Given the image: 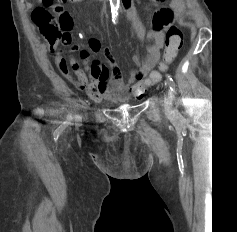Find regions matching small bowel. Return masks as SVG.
<instances>
[{
    "label": "small bowel",
    "instance_id": "c3829d8e",
    "mask_svg": "<svg viewBox=\"0 0 237 232\" xmlns=\"http://www.w3.org/2000/svg\"><path fill=\"white\" fill-rule=\"evenodd\" d=\"M83 0H67L71 3H79ZM163 2L165 0H153ZM184 9V0H170L168 7L159 8L152 19V29L146 31L134 8L128 10V16L132 22L136 37L144 45L146 53L143 57L134 56V68L129 78L124 81L115 61L98 39L94 38L89 43V49L93 53L104 52L109 60L110 67H106L101 61H94L87 67V71L79 68L75 60H70V65L76 75L74 81L79 90L86 91L94 101L111 100L115 102L125 101L130 98L141 99L149 86L147 75L160 59V52L164 46L166 32L176 21L178 15ZM83 59H87L88 51H82ZM55 63L59 70L69 76V66L61 52L55 57Z\"/></svg>",
    "mask_w": 237,
    "mask_h": 232
}]
</instances>
